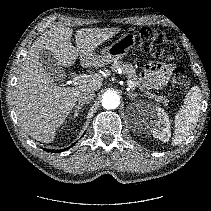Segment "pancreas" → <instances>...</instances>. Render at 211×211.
<instances>
[{"instance_id": "obj_1", "label": "pancreas", "mask_w": 211, "mask_h": 211, "mask_svg": "<svg viewBox=\"0 0 211 211\" xmlns=\"http://www.w3.org/2000/svg\"><path fill=\"white\" fill-rule=\"evenodd\" d=\"M112 71H117L118 69H121L123 74L126 75L127 79L130 80L134 86L138 87L140 85V81L138 80L139 77L136 74V71L134 67L127 62L122 61H115L111 66ZM146 95H149L150 98H154L157 102H161L163 105H167L169 100L166 99L163 96L156 95L152 92L145 91Z\"/></svg>"}]
</instances>
